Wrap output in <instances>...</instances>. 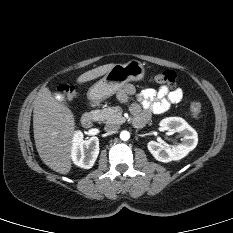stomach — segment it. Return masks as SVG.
I'll return each instance as SVG.
<instances>
[{
  "instance_id": "1",
  "label": "stomach",
  "mask_w": 233,
  "mask_h": 233,
  "mask_svg": "<svg viewBox=\"0 0 233 233\" xmlns=\"http://www.w3.org/2000/svg\"><path fill=\"white\" fill-rule=\"evenodd\" d=\"M145 68L138 60H130L125 64H115L105 76L96 82L88 91L92 101H100L114 95L130 81L142 80Z\"/></svg>"
}]
</instances>
